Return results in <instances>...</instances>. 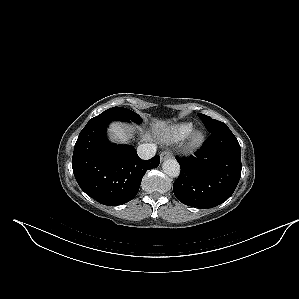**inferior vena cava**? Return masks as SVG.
Returning <instances> with one entry per match:
<instances>
[{
	"label": "inferior vena cava",
	"instance_id": "obj_1",
	"mask_svg": "<svg viewBox=\"0 0 299 299\" xmlns=\"http://www.w3.org/2000/svg\"><path fill=\"white\" fill-rule=\"evenodd\" d=\"M156 149L155 144L145 143L138 146L137 152L141 159L148 160L155 155Z\"/></svg>",
	"mask_w": 299,
	"mask_h": 299
}]
</instances>
